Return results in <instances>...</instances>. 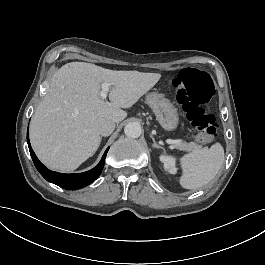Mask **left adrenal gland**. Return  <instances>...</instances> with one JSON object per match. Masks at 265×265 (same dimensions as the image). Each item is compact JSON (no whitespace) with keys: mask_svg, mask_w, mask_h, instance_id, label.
I'll list each match as a JSON object with an SVG mask.
<instances>
[{"mask_svg":"<svg viewBox=\"0 0 265 265\" xmlns=\"http://www.w3.org/2000/svg\"><path fill=\"white\" fill-rule=\"evenodd\" d=\"M150 137H151V139H152V141H153V143H154V146H153V147H154L155 149H162L163 152H164V155H166V153H165L163 147H161V146H159V145L157 144V142L155 141V139L153 138L152 135H150Z\"/></svg>","mask_w":265,"mask_h":265,"instance_id":"left-adrenal-gland-1","label":"left adrenal gland"}]
</instances>
